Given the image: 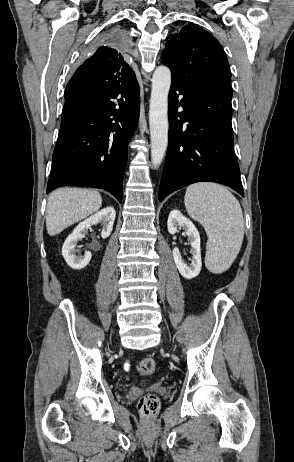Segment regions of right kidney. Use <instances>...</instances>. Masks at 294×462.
Instances as JSON below:
<instances>
[{
	"label": "right kidney",
	"mask_w": 294,
	"mask_h": 462,
	"mask_svg": "<svg viewBox=\"0 0 294 462\" xmlns=\"http://www.w3.org/2000/svg\"><path fill=\"white\" fill-rule=\"evenodd\" d=\"M115 216V209L113 207H106L78 224L73 232L66 238L62 247V255L66 263L72 269H83L89 264L92 257L91 252L89 251L85 252L84 256H76L75 248L77 242L85 237V234L92 225L98 223H102L103 225L101 237H109L113 229Z\"/></svg>",
	"instance_id": "ca27d5eb"
}]
</instances>
